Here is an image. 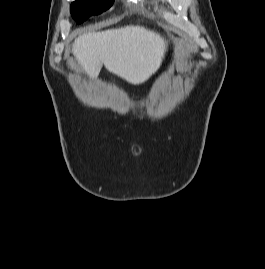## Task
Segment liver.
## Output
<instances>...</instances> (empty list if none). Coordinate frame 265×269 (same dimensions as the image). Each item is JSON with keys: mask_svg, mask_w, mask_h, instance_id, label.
<instances>
[{"mask_svg": "<svg viewBox=\"0 0 265 269\" xmlns=\"http://www.w3.org/2000/svg\"><path fill=\"white\" fill-rule=\"evenodd\" d=\"M167 41L142 26L90 32L77 37L72 52L92 79L105 68L137 85L148 80L160 67Z\"/></svg>", "mask_w": 265, "mask_h": 269, "instance_id": "6515ba94", "label": "liver"}]
</instances>
